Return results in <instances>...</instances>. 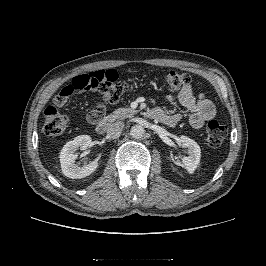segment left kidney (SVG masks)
Here are the masks:
<instances>
[{"label": "left kidney", "mask_w": 266, "mask_h": 266, "mask_svg": "<svg viewBox=\"0 0 266 266\" xmlns=\"http://www.w3.org/2000/svg\"><path fill=\"white\" fill-rule=\"evenodd\" d=\"M179 143L188 149V156L183 157L182 162H178L177 165L185 168L189 173H193L200 162V146L187 136H181Z\"/></svg>", "instance_id": "obj_1"}]
</instances>
